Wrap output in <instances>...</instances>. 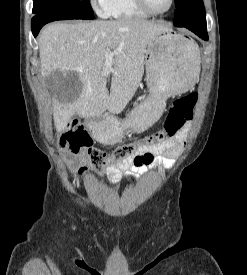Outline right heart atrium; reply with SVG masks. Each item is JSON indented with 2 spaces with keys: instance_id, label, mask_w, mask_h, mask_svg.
Masks as SVG:
<instances>
[{
  "instance_id": "right-heart-atrium-1",
  "label": "right heart atrium",
  "mask_w": 247,
  "mask_h": 275,
  "mask_svg": "<svg viewBox=\"0 0 247 275\" xmlns=\"http://www.w3.org/2000/svg\"><path fill=\"white\" fill-rule=\"evenodd\" d=\"M90 4L99 16H108L110 11L111 0H90Z\"/></svg>"
}]
</instances>
